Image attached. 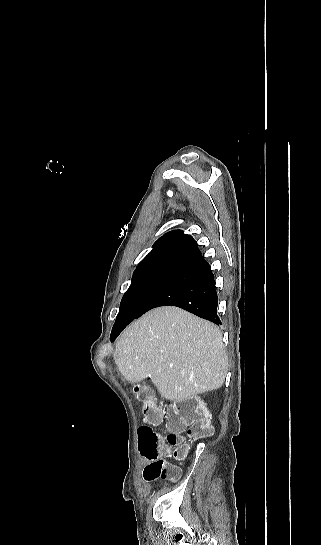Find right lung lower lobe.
<instances>
[{
  "mask_svg": "<svg viewBox=\"0 0 321 545\" xmlns=\"http://www.w3.org/2000/svg\"><path fill=\"white\" fill-rule=\"evenodd\" d=\"M217 304L214 275L200 253L183 266L175 269L134 317L124 322H115L110 340H115L130 322L145 312L166 305L180 307L220 325Z\"/></svg>",
  "mask_w": 321,
  "mask_h": 545,
  "instance_id": "right-lung-lower-lobe-1",
  "label": "right lung lower lobe"
}]
</instances>
